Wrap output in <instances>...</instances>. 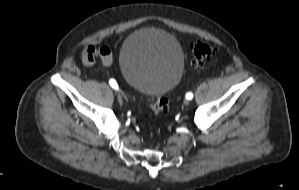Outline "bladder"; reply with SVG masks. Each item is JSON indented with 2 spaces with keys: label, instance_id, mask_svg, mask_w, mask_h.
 <instances>
[{
  "label": "bladder",
  "instance_id": "obj_1",
  "mask_svg": "<svg viewBox=\"0 0 299 190\" xmlns=\"http://www.w3.org/2000/svg\"><path fill=\"white\" fill-rule=\"evenodd\" d=\"M119 66L125 81L140 93L163 96L180 81L184 55L170 33L144 28L132 33L123 43Z\"/></svg>",
  "mask_w": 299,
  "mask_h": 190
}]
</instances>
